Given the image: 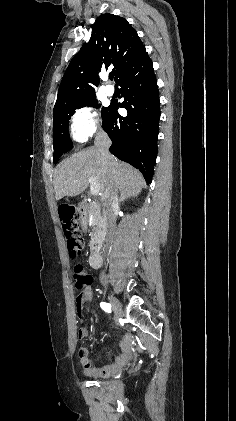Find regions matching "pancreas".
<instances>
[{"label": "pancreas", "instance_id": "cf45deb5", "mask_svg": "<svg viewBox=\"0 0 236 421\" xmlns=\"http://www.w3.org/2000/svg\"><path fill=\"white\" fill-rule=\"evenodd\" d=\"M86 215L91 223L90 227H92L93 231L89 245L90 251L91 253H97L99 247H101L103 243V237L106 233L104 211H102L100 204L89 202L86 208Z\"/></svg>", "mask_w": 236, "mask_h": 421}]
</instances>
